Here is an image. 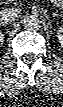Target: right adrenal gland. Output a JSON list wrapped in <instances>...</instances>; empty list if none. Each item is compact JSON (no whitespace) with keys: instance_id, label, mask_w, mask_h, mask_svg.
Segmentation results:
<instances>
[{"instance_id":"right-adrenal-gland-1","label":"right adrenal gland","mask_w":63,"mask_h":107,"mask_svg":"<svg viewBox=\"0 0 63 107\" xmlns=\"http://www.w3.org/2000/svg\"><path fill=\"white\" fill-rule=\"evenodd\" d=\"M0 27H5V25H1Z\"/></svg>"}]
</instances>
